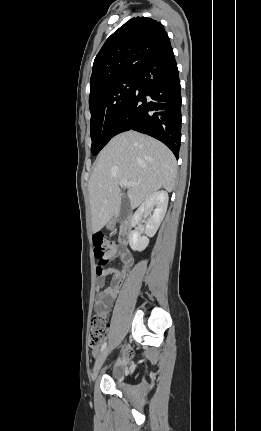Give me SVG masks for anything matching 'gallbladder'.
<instances>
[{
  "label": "gallbladder",
  "mask_w": 261,
  "mask_h": 431,
  "mask_svg": "<svg viewBox=\"0 0 261 431\" xmlns=\"http://www.w3.org/2000/svg\"><path fill=\"white\" fill-rule=\"evenodd\" d=\"M130 210L131 208L128 200L123 197L120 203L119 216H118V220L120 223L123 222L128 217Z\"/></svg>",
  "instance_id": "obj_1"
}]
</instances>
